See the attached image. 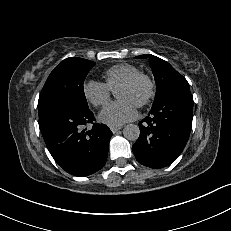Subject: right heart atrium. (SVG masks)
<instances>
[{
  "label": "right heart atrium",
  "instance_id": "d8ad5b80",
  "mask_svg": "<svg viewBox=\"0 0 231 231\" xmlns=\"http://www.w3.org/2000/svg\"><path fill=\"white\" fill-rule=\"evenodd\" d=\"M85 99L94 107H102L110 99L111 91L105 83L96 80H87L82 85Z\"/></svg>",
  "mask_w": 231,
  "mask_h": 231
}]
</instances>
